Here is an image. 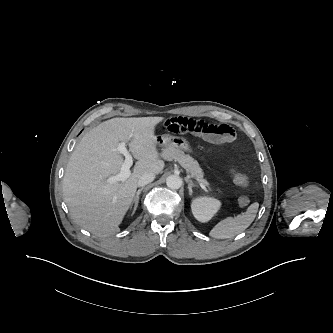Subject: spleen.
<instances>
[{"label": "spleen", "instance_id": "spleen-1", "mask_svg": "<svg viewBox=\"0 0 333 333\" xmlns=\"http://www.w3.org/2000/svg\"><path fill=\"white\" fill-rule=\"evenodd\" d=\"M258 208V202H255L247 208L246 212L234 218L227 217L221 220L210 230L209 235L216 239H227L241 233L252 224Z\"/></svg>", "mask_w": 333, "mask_h": 333}]
</instances>
